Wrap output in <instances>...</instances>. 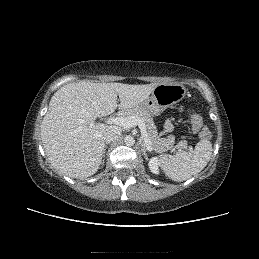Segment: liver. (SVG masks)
<instances>
[{"instance_id": "6515ba94", "label": "liver", "mask_w": 259, "mask_h": 259, "mask_svg": "<svg viewBox=\"0 0 259 259\" xmlns=\"http://www.w3.org/2000/svg\"><path fill=\"white\" fill-rule=\"evenodd\" d=\"M157 85L82 80L62 86L52 96L41 124L42 143L51 164L72 178L95 174L102 162L104 132L109 127L94 123L95 119L112 114L118 106L137 108Z\"/></svg>"}]
</instances>
